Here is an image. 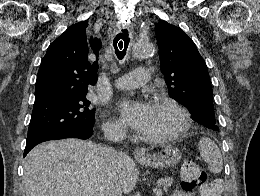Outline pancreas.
<instances>
[{
    "mask_svg": "<svg viewBox=\"0 0 260 196\" xmlns=\"http://www.w3.org/2000/svg\"><path fill=\"white\" fill-rule=\"evenodd\" d=\"M172 182V178H161V180H157L158 186H161L164 192H168L170 186H172Z\"/></svg>",
    "mask_w": 260,
    "mask_h": 196,
    "instance_id": "1",
    "label": "pancreas"
}]
</instances>
